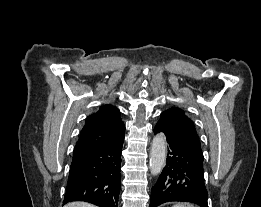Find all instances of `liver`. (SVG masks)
Returning <instances> with one entry per match:
<instances>
[{
	"label": "liver",
	"mask_w": 261,
	"mask_h": 207,
	"mask_svg": "<svg viewBox=\"0 0 261 207\" xmlns=\"http://www.w3.org/2000/svg\"><path fill=\"white\" fill-rule=\"evenodd\" d=\"M65 207H97L86 202H72L67 204Z\"/></svg>",
	"instance_id": "6515ba94"
}]
</instances>
